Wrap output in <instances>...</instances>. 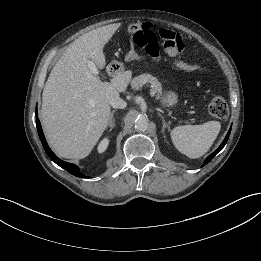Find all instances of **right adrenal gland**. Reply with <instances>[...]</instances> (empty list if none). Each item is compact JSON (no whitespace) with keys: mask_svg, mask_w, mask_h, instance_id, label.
<instances>
[{"mask_svg":"<svg viewBox=\"0 0 261 261\" xmlns=\"http://www.w3.org/2000/svg\"><path fill=\"white\" fill-rule=\"evenodd\" d=\"M115 112H116V110H113V111L110 113V119H109V124H108L109 132H111L112 129L114 128V126H115V121H114V119H113Z\"/></svg>","mask_w":261,"mask_h":261,"instance_id":"1","label":"right adrenal gland"}]
</instances>
